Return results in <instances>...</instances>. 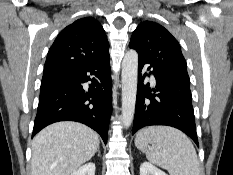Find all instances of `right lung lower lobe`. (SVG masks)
Masks as SVG:
<instances>
[{"instance_id": "right-lung-lower-lobe-1", "label": "right lung lower lobe", "mask_w": 233, "mask_h": 175, "mask_svg": "<svg viewBox=\"0 0 233 175\" xmlns=\"http://www.w3.org/2000/svg\"><path fill=\"white\" fill-rule=\"evenodd\" d=\"M109 54L69 71L42 78L32 137L49 124L76 121L94 129L107 143L112 113ZM91 81L89 88L82 84Z\"/></svg>"}]
</instances>
